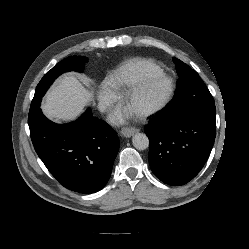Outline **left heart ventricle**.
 <instances>
[{
  "label": "left heart ventricle",
  "instance_id": "1",
  "mask_svg": "<svg viewBox=\"0 0 249 249\" xmlns=\"http://www.w3.org/2000/svg\"><path fill=\"white\" fill-rule=\"evenodd\" d=\"M168 84L166 82H159L145 91L131 106L132 111H138L142 108L150 106L158 102L166 93Z\"/></svg>",
  "mask_w": 249,
  "mask_h": 249
}]
</instances>
